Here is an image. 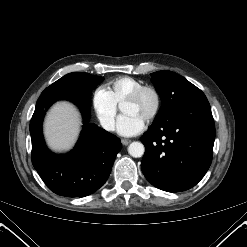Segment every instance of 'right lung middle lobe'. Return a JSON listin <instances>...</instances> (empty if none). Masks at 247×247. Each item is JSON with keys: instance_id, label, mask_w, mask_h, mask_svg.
Returning a JSON list of instances; mask_svg holds the SVG:
<instances>
[{"instance_id": "right-lung-middle-lobe-1", "label": "right lung middle lobe", "mask_w": 247, "mask_h": 247, "mask_svg": "<svg viewBox=\"0 0 247 247\" xmlns=\"http://www.w3.org/2000/svg\"><path fill=\"white\" fill-rule=\"evenodd\" d=\"M102 81L103 78L99 76L82 72H74L63 76L52 85L47 87L43 92H75L90 94V91L93 90Z\"/></svg>"}]
</instances>
